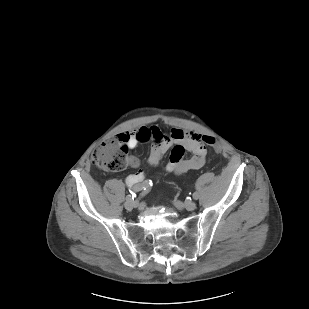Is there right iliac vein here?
Wrapping results in <instances>:
<instances>
[{
  "label": "right iliac vein",
  "mask_w": 309,
  "mask_h": 309,
  "mask_svg": "<svg viewBox=\"0 0 309 309\" xmlns=\"http://www.w3.org/2000/svg\"><path fill=\"white\" fill-rule=\"evenodd\" d=\"M124 206L127 210H132L133 208L137 207V202L134 200H127L124 203Z\"/></svg>",
  "instance_id": "obj_1"
}]
</instances>
